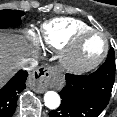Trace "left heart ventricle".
Here are the masks:
<instances>
[{"mask_svg": "<svg viewBox=\"0 0 117 117\" xmlns=\"http://www.w3.org/2000/svg\"><path fill=\"white\" fill-rule=\"evenodd\" d=\"M103 48L104 42L100 36H88L79 46L78 59L84 62L91 61L102 53Z\"/></svg>", "mask_w": 117, "mask_h": 117, "instance_id": "left-heart-ventricle-1", "label": "left heart ventricle"}]
</instances>
